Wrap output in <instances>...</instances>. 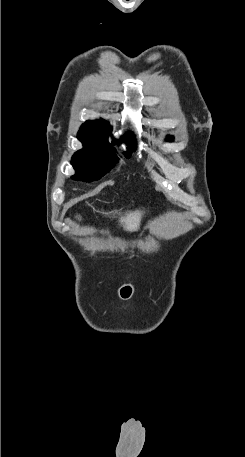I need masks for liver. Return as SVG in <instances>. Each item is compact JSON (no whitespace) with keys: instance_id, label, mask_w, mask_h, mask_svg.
Segmentation results:
<instances>
[{"instance_id":"liver-1","label":"liver","mask_w":245,"mask_h":457,"mask_svg":"<svg viewBox=\"0 0 245 457\" xmlns=\"http://www.w3.org/2000/svg\"><path fill=\"white\" fill-rule=\"evenodd\" d=\"M111 212H114V210H111ZM104 214H109V212H104ZM142 214L143 210H128L125 216H121L120 222L123 224L125 231H138Z\"/></svg>"}]
</instances>
